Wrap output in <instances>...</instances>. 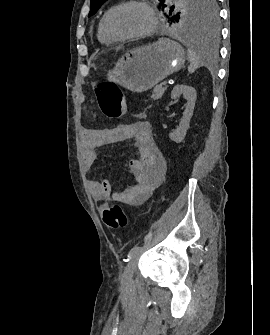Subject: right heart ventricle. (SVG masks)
Returning <instances> with one entry per match:
<instances>
[{
  "instance_id": "obj_1",
  "label": "right heart ventricle",
  "mask_w": 270,
  "mask_h": 335,
  "mask_svg": "<svg viewBox=\"0 0 270 335\" xmlns=\"http://www.w3.org/2000/svg\"><path fill=\"white\" fill-rule=\"evenodd\" d=\"M112 6L107 8L104 13L102 14L99 23H98V39L101 43L109 45L116 41H118L117 38L113 37L109 34V32L106 29V18L108 13L111 11Z\"/></svg>"
}]
</instances>
